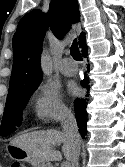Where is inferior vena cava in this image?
<instances>
[{
	"mask_svg": "<svg viewBox=\"0 0 125 167\" xmlns=\"http://www.w3.org/2000/svg\"><path fill=\"white\" fill-rule=\"evenodd\" d=\"M61 126L72 143L70 167H79L80 134L78 132L75 116L68 109H62L59 114Z\"/></svg>",
	"mask_w": 125,
	"mask_h": 167,
	"instance_id": "602c4592",
	"label": "inferior vena cava"
}]
</instances>
